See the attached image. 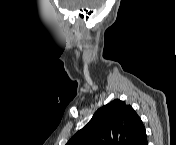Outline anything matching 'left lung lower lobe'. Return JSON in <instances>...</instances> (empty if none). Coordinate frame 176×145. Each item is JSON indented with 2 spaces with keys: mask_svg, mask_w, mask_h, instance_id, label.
I'll list each match as a JSON object with an SVG mask.
<instances>
[{
  "mask_svg": "<svg viewBox=\"0 0 176 145\" xmlns=\"http://www.w3.org/2000/svg\"><path fill=\"white\" fill-rule=\"evenodd\" d=\"M137 145H148L146 132L141 136V138L139 139Z\"/></svg>",
  "mask_w": 176,
  "mask_h": 145,
  "instance_id": "1",
  "label": "left lung lower lobe"
}]
</instances>
